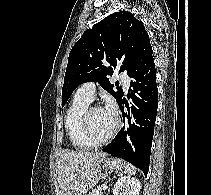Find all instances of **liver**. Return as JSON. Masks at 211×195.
<instances>
[{
    "label": "liver",
    "mask_w": 211,
    "mask_h": 195,
    "mask_svg": "<svg viewBox=\"0 0 211 195\" xmlns=\"http://www.w3.org/2000/svg\"><path fill=\"white\" fill-rule=\"evenodd\" d=\"M103 152L68 151L57 160V195H81L90 190L88 177L106 156Z\"/></svg>",
    "instance_id": "liver-1"
}]
</instances>
